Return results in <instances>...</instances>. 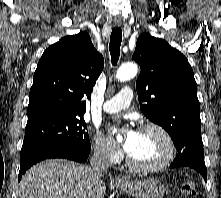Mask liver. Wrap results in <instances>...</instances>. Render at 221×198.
I'll list each match as a JSON object with an SVG mask.
<instances>
[{"label": "liver", "mask_w": 221, "mask_h": 198, "mask_svg": "<svg viewBox=\"0 0 221 198\" xmlns=\"http://www.w3.org/2000/svg\"><path fill=\"white\" fill-rule=\"evenodd\" d=\"M106 185L90 168L53 159L38 163L22 177L18 198H104Z\"/></svg>", "instance_id": "obj_1"}]
</instances>
